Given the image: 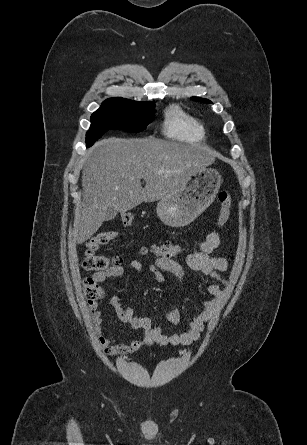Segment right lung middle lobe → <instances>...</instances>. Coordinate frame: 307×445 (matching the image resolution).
I'll return each instance as SVG.
<instances>
[{
    "label": "right lung middle lobe",
    "mask_w": 307,
    "mask_h": 445,
    "mask_svg": "<svg viewBox=\"0 0 307 445\" xmlns=\"http://www.w3.org/2000/svg\"><path fill=\"white\" fill-rule=\"evenodd\" d=\"M153 103L123 98H109L91 115V127L86 134L87 147L110 129L141 132L153 120Z\"/></svg>",
    "instance_id": "right-lung-middle-lobe-1"
}]
</instances>
